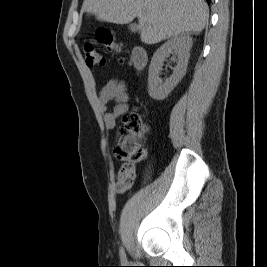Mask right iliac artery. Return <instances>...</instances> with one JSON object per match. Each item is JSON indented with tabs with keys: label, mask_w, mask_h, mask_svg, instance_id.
I'll use <instances>...</instances> for the list:
<instances>
[{
	"label": "right iliac artery",
	"mask_w": 267,
	"mask_h": 267,
	"mask_svg": "<svg viewBox=\"0 0 267 267\" xmlns=\"http://www.w3.org/2000/svg\"><path fill=\"white\" fill-rule=\"evenodd\" d=\"M119 254H120L121 261L125 263L127 260H126V254H125L123 247H120Z\"/></svg>",
	"instance_id": "1"
}]
</instances>
